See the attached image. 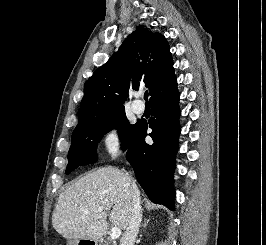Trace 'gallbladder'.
Returning <instances> with one entry per match:
<instances>
[{"label":"gallbladder","mask_w":266,"mask_h":245,"mask_svg":"<svg viewBox=\"0 0 266 245\" xmlns=\"http://www.w3.org/2000/svg\"><path fill=\"white\" fill-rule=\"evenodd\" d=\"M74 241L73 239H68V245H73Z\"/></svg>","instance_id":"bac80fb5"}]
</instances>
